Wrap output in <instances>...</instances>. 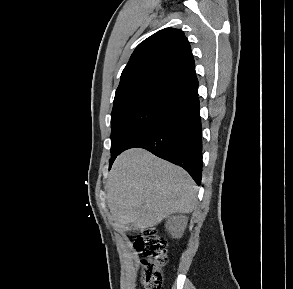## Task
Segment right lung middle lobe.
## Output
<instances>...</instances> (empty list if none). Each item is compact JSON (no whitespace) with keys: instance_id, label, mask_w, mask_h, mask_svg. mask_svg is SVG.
<instances>
[{"instance_id":"obj_1","label":"right lung middle lobe","mask_w":293,"mask_h":289,"mask_svg":"<svg viewBox=\"0 0 293 289\" xmlns=\"http://www.w3.org/2000/svg\"><path fill=\"white\" fill-rule=\"evenodd\" d=\"M175 106L169 100L157 96L130 97L114 104L111 113L112 156Z\"/></svg>"}]
</instances>
